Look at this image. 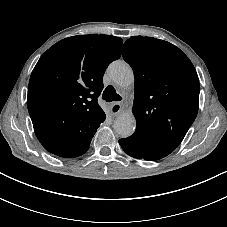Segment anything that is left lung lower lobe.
<instances>
[{
	"label": "left lung lower lobe",
	"mask_w": 227,
	"mask_h": 227,
	"mask_svg": "<svg viewBox=\"0 0 227 227\" xmlns=\"http://www.w3.org/2000/svg\"><path fill=\"white\" fill-rule=\"evenodd\" d=\"M122 149L130 156L137 159L158 160L170 152L161 149L149 140L142 139L140 136H130L119 140Z\"/></svg>",
	"instance_id": "0a47b994"
}]
</instances>
